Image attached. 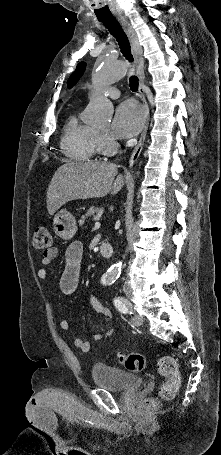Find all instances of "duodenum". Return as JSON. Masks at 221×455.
<instances>
[{"label":"duodenum","mask_w":221,"mask_h":455,"mask_svg":"<svg viewBox=\"0 0 221 455\" xmlns=\"http://www.w3.org/2000/svg\"><path fill=\"white\" fill-rule=\"evenodd\" d=\"M99 253L105 258H110L113 254V248H112L111 244L102 243L99 246Z\"/></svg>","instance_id":"1"}]
</instances>
